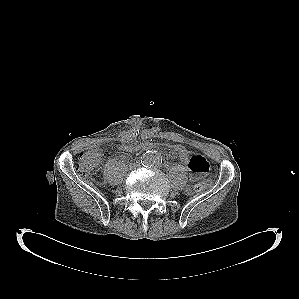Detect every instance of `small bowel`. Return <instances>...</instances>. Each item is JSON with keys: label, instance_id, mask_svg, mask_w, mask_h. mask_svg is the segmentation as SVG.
<instances>
[{"label": "small bowel", "instance_id": "c3829d8e", "mask_svg": "<svg viewBox=\"0 0 299 299\" xmlns=\"http://www.w3.org/2000/svg\"><path fill=\"white\" fill-rule=\"evenodd\" d=\"M124 142L125 145L121 150L125 152H137L133 136H128ZM184 162L191 171V179L193 181L197 180L201 175L207 173L209 170V164L207 160L197 153L189 152V157Z\"/></svg>", "mask_w": 299, "mask_h": 299}]
</instances>
